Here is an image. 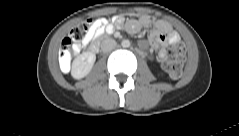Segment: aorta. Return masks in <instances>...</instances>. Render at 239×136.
<instances>
[{"label":"aorta","instance_id":"1","mask_svg":"<svg viewBox=\"0 0 239 136\" xmlns=\"http://www.w3.org/2000/svg\"><path fill=\"white\" fill-rule=\"evenodd\" d=\"M121 45H122L123 48H128V47H130V41L129 40H123L121 42Z\"/></svg>","mask_w":239,"mask_h":136}]
</instances>
